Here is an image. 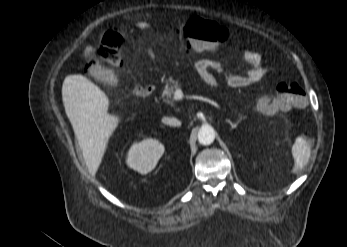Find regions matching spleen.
I'll list each match as a JSON object with an SVG mask.
<instances>
[{
	"label": "spleen",
	"instance_id": "1",
	"mask_svg": "<svg viewBox=\"0 0 347 247\" xmlns=\"http://www.w3.org/2000/svg\"><path fill=\"white\" fill-rule=\"evenodd\" d=\"M292 151L296 160L295 167L297 169L302 168L311 153L308 142L304 138L298 137Z\"/></svg>",
	"mask_w": 347,
	"mask_h": 247
}]
</instances>
